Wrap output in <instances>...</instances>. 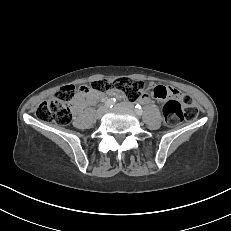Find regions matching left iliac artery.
I'll return each instance as SVG.
<instances>
[{"label":"left iliac artery","instance_id":"1","mask_svg":"<svg viewBox=\"0 0 231 231\" xmlns=\"http://www.w3.org/2000/svg\"><path fill=\"white\" fill-rule=\"evenodd\" d=\"M135 111H136V113H137L138 115H142V114H143V109H142V107H141L139 104H137V105L135 106Z\"/></svg>","mask_w":231,"mask_h":231}]
</instances>
